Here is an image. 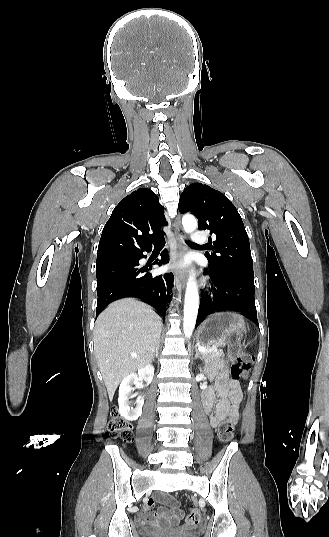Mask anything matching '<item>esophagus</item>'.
Here are the masks:
<instances>
[{"instance_id":"1","label":"esophagus","mask_w":329,"mask_h":537,"mask_svg":"<svg viewBox=\"0 0 329 537\" xmlns=\"http://www.w3.org/2000/svg\"><path fill=\"white\" fill-rule=\"evenodd\" d=\"M175 240L177 243V252L173 258V265L177 266L178 262L182 259L184 253H185V245H184V231L180 224L179 217L176 219L175 223ZM175 279L178 283H180L182 286L185 285L186 281V274L184 270L178 269L175 272Z\"/></svg>"}]
</instances>
